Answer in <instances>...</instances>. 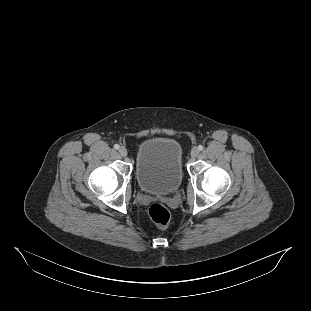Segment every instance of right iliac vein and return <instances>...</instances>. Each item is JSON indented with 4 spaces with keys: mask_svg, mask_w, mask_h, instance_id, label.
<instances>
[{
    "mask_svg": "<svg viewBox=\"0 0 311 311\" xmlns=\"http://www.w3.org/2000/svg\"><path fill=\"white\" fill-rule=\"evenodd\" d=\"M119 153L123 157L127 156V154H128L127 149L125 147L119 148Z\"/></svg>",
    "mask_w": 311,
    "mask_h": 311,
    "instance_id": "1",
    "label": "right iliac vein"
}]
</instances>
